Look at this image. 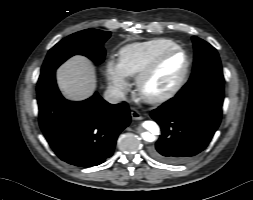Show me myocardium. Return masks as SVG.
Segmentation results:
<instances>
[{"label": "myocardium", "mask_w": 253, "mask_h": 200, "mask_svg": "<svg viewBox=\"0 0 253 200\" xmlns=\"http://www.w3.org/2000/svg\"><path fill=\"white\" fill-rule=\"evenodd\" d=\"M174 53H181L185 57V66H184V69H183L182 73L180 74L178 79L174 82V84L169 89H167L166 91H164L162 93H159V94H149L145 89L147 81L154 74V72L157 70V68L162 63V61L166 57H168V56H170ZM190 67H191L190 57H189L188 53L183 48L177 46V47H174V48L164 50L161 53H159L137 75V78H136L137 92L140 95V97L144 101H146L147 103H150V104L163 103V102L171 99L181 89V87L183 86V84L185 83V81L188 77Z\"/></svg>", "instance_id": "myocardium-1"}]
</instances>
